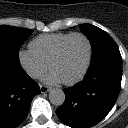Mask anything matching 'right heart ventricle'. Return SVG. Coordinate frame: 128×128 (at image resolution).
Wrapping results in <instances>:
<instances>
[{
  "mask_svg": "<svg viewBox=\"0 0 128 128\" xmlns=\"http://www.w3.org/2000/svg\"><path fill=\"white\" fill-rule=\"evenodd\" d=\"M70 34L58 32L40 35L30 42V49L48 64L60 43Z\"/></svg>",
  "mask_w": 128,
  "mask_h": 128,
  "instance_id": "1",
  "label": "right heart ventricle"
}]
</instances>
